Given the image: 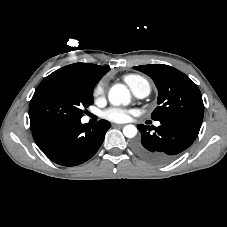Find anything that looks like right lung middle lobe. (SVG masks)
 <instances>
[{
  "label": "right lung middle lobe",
  "mask_w": 227,
  "mask_h": 227,
  "mask_svg": "<svg viewBox=\"0 0 227 227\" xmlns=\"http://www.w3.org/2000/svg\"><path fill=\"white\" fill-rule=\"evenodd\" d=\"M93 86L76 79L50 74L37 87L30 101V128L80 120L93 104Z\"/></svg>",
  "instance_id": "dd1d6c3e"
}]
</instances>
